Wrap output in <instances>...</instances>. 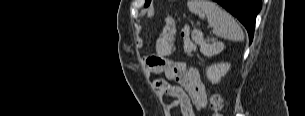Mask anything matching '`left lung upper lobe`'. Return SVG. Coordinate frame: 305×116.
<instances>
[{
	"instance_id": "1",
	"label": "left lung upper lobe",
	"mask_w": 305,
	"mask_h": 116,
	"mask_svg": "<svg viewBox=\"0 0 305 116\" xmlns=\"http://www.w3.org/2000/svg\"><path fill=\"white\" fill-rule=\"evenodd\" d=\"M150 2V0H146V4H148Z\"/></svg>"
}]
</instances>
